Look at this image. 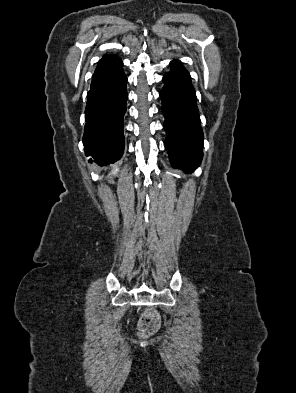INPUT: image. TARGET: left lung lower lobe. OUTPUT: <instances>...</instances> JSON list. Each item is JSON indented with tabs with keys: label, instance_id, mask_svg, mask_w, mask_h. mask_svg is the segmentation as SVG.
Segmentation results:
<instances>
[{
	"label": "left lung lower lobe",
	"instance_id": "1",
	"mask_svg": "<svg viewBox=\"0 0 296 393\" xmlns=\"http://www.w3.org/2000/svg\"><path fill=\"white\" fill-rule=\"evenodd\" d=\"M170 65L160 92L167 136L165 146L173 167L193 172L203 156V132L196 94L190 74L180 61L173 60Z\"/></svg>",
	"mask_w": 296,
	"mask_h": 393
}]
</instances>
